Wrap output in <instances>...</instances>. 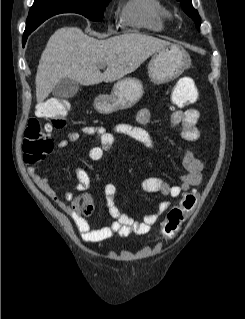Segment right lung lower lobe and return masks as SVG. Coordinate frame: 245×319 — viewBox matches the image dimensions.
I'll return each mask as SVG.
<instances>
[{
    "label": "right lung lower lobe",
    "mask_w": 245,
    "mask_h": 319,
    "mask_svg": "<svg viewBox=\"0 0 245 319\" xmlns=\"http://www.w3.org/2000/svg\"><path fill=\"white\" fill-rule=\"evenodd\" d=\"M31 32H24V37H23V44H25L26 40H27V37L28 35L30 34Z\"/></svg>",
    "instance_id": "right-lung-lower-lobe-1"
}]
</instances>
